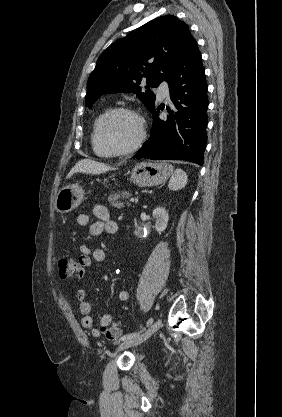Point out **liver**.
Wrapping results in <instances>:
<instances>
[{"label": "liver", "instance_id": "liver-1", "mask_svg": "<svg viewBox=\"0 0 282 417\" xmlns=\"http://www.w3.org/2000/svg\"><path fill=\"white\" fill-rule=\"evenodd\" d=\"M107 170H115L110 164L105 162H97V160H91V158H82L78 160L75 166L68 172L66 178H70L74 172H86V174H101V172H107Z\"/></svg>", "mask_w": 282, "mask_h": 417}]
</instances>
